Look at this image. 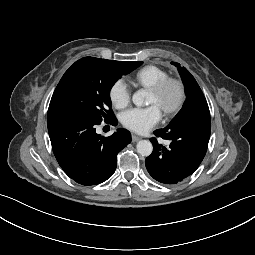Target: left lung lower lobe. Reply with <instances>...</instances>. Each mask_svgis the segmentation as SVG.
Instances as JSON below:
<instances>
[{
	"mask_svg": "<svg viewBox=\"0 0 255 255\" xmlns=\"http://www.w3.org/2000/svg\"><path fill=\"white\" fill-rule=\"evenodd\" d=\"M211 132L210 112L205 97L187 102L156 137L169 140V147L151 138L153 152L145 160L149 174L163 184H176L196 171L202 162Z\"/></svg>",
	"mask_w": 255,
	"mask_h": 255,
	"instance_id": "left-lung-lower-lobe-1",
	"label": "left lung lower lobe"
}]
</instances>
